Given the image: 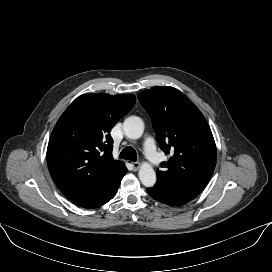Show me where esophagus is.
Segmentation results:
<instances>
[{
  "label": "esophagus",
  "mask_w": 272,
  "mask_h": 272,
  "mask_svg": "<svg viewBox=\"0 0 272 272\" xmlns=\"http://www.w3.org/2000/svg\"><path fill=\"white\" fill-rule=\"evenodd\" d=\"M131 165H132L134 171H137L140 167L139 162H132Z\"/></svg>",
  "instance_id": "obj_1"
}]
</instances>
